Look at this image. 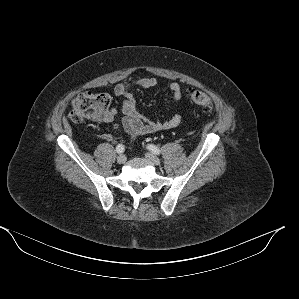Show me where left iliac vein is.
<instances>
[{
    "label": "left iliac vein",
    "instance_id": "1",
    "mask_svg": "<svg viewBox=\"0 0 299 299\" xmlns=\"http://www.w3.org/2000/svg\"><path fill=\"white\" fill-rule=\"evenodd\" d=\"M146 159L148 161H150L152 164L158 166L160 165V160L158 157H156L155 155H153L152 153H146L145 155Z\"/></svg>",
    "mask_w": 299,
    "mask_h": 299
}]
</instances>
